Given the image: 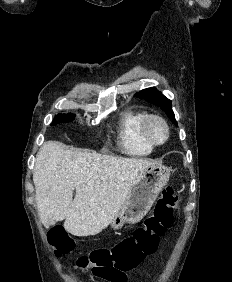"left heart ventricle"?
Returning a JSON list of instances; mask_svg holds the SVG:
<instances>
[{"label":"left heart ventricle","mask_w":232,"mask_h":282,"mask_svg":"<svg viewBox=\"0 0 232 282\" xmlns=\"http://www.w3.org/2000/svg\"><path fill=\"white\" fill-rule=\"evenodd\" d=\"M151 134L156 140H162L165 136V131L161 124L155 122L151 125Z\"/></svg>","instance_id":"b2bd125f"}]
</instances>
